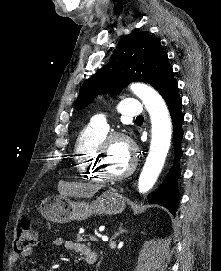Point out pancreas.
<instances>
[{"mask_svg":"<svg viewBox=\"0 0 221 271\" xmlns=\"http://www.w3.org/2000/svg\"><path fill=\"white\" fill-rule=\"evenodd\" d=\"M75 240L77 242H86V243H89V240H87L86 237H77Z\"/></svg>","mask_w":221,"mask_h":271,"instance_id":"cf45deb5","label":"pancreas"}]
</instances>
